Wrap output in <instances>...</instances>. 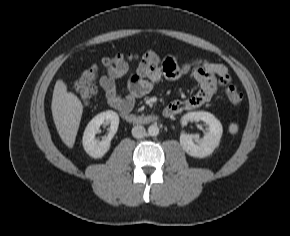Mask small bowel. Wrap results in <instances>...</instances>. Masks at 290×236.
Wrapping results in <instances>:
<instances>
[{
    "label": "small bowel",
    "mask_w": 290,
    "mask_h": 236,
    "mask_svg": "<svg viewBox=\"0 0 290 236\" xmlns=\"http://www.w3.org/2000/svg\"><path fill=\"white\" fill-rule=\"evenodd\" d=\"M128 70L127 62L108 66L105 67V74L99 79L107 103L121 114L129 113L136 99L148 94L163 79L177 81L191 75L199 86L198 91L188 99L170 102L164 109L166 117L201 107L211 100L220 87L228 86L231 82L224 64L205 57L179 64L171 54L161 57L149 50L143 54L128 81L125 93L122 94L117 88L116 80Z\"/></svg>",
    "instance_id": "c3829d8e"
}]
</instances>
